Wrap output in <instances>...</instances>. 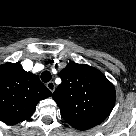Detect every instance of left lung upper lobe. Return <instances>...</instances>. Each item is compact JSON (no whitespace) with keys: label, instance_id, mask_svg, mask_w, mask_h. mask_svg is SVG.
<instances>
[{"label":"left lung upper lobe","instance_id":"5c2ea615","mask_svg":"<svg viewBox=\"0 0 136 136\" xmlns=\"http://www.w3.org/2000/svg\"><path fill=\"white\" fill-rule=\"evenodd\" d=\"M62 83L53 93L63 118L74 128L87 130L104 121L112 111L113 84L96 68L69 63L61 70Z\"/></svg>","mask_w":136,"mask_h":136}]
</instances>
